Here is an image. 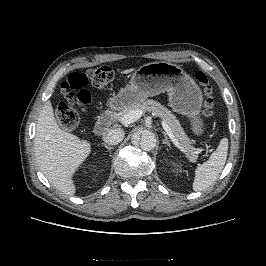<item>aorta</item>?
Wrapping results in <instances>:
<instances>
[{
    "label": "aorta",
    "mask_w": 266,
    "mask_h": 266,
    "mask_svg": "<svg viewBox=\"0 0 266 266\" xmlns=\"http://www.w3.org/2000/svg\"><path fill=\"white\" fill-rule=\"evenodd\" d=\"M132 142L139 145L145 151H151L157 145V138L152 131L144 130L140 135H134Z\"/></svg>",
    "instance_id": "aorta-1"
}]
</instances>
